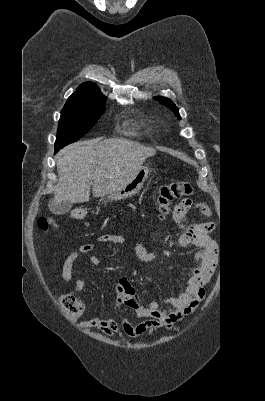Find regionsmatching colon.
<instances>
[{
	"mask_svg": "<svg viewBox=\"0 0 265 401\" xmlns=\"http://www.w3.org/2000/svg\"><path fill=\"white\" fill-rule=\"evenodd\" d=\"M192 193V185L188 181H178L165 184L160 187L157 203L162 216L169 212L170 203L177 199H183ZM86 212L82 208H75L71 211L73 220H81L85 217ZM54 225V221L50 218H40L37 226L41 231H47ZM60 303L67 316L72 320H76L83 311L82 303L71 294H64L60 298Z\"/></svg>",
	"mask_w": 265,
	"mask_h": 401,
	"instance_id": "1",
	"label": "colon"
}]
</instances>
